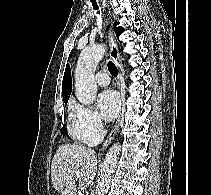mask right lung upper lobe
<instances>
[{
    "mask_svg": "<svg viewBox=\"0 0 211 195\" xmlns=\"http://www.w3.org/2000/svg\"><path fill=\"white\" fill-rule=\"evenodd\" d=\"M72 91V79H71V72H70V66L67 65L63 77V83H62V94H63V100L64 102L68 101L69 95Z\"/></svg>",
    "mask_w": 211,
    "mask_h": 195,
    "instance_id": "1",
    "label": "right lung upper lobe"
}]
</instances>
